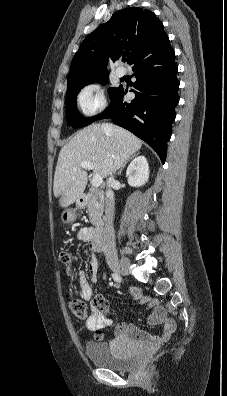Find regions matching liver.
Instances as JSON below:
<instances>
[{"mask_svg": "<svg viewBox=\"0 0 227 396\" xmlns=\"http://www.w3.org/2000/svg\"><path fill=\"white\" fill-rule=\"evenodd\" d=\"M104 130L92 124L77 132L59 153L54 175L53 192L61 207H68L82 196L87 184L83 161L93 163V171L102 178L113 174L124 161L137 152L142 141L129 131L115 125Z\"/></svg>", "mask_w": 227, "mask_h": 396, "instance_id": "obj_1", "label": "liver"}]
</instances>
